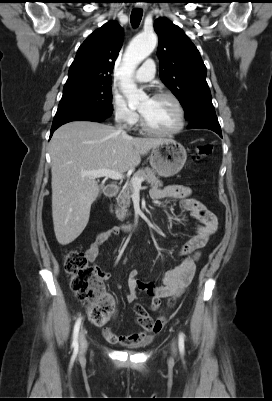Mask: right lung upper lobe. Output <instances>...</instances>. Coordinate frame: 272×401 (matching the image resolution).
<instances>
[{
    "mask_svg": "<svg viewBox=\"0 0 272 401\" xmlns=\"http://www.w3.org/2000/svg\"><path fill=\"white\" fill-rule=\"evenodd\" d=\"M122 41L123 29L115 21L95 30L79 47L63 91L111 82Z\"/></svg>",
    "mask_w": 272,
    "mask_h": 401,
    "instance_id": "right-lung-upper-lobe-1",
    "label": "right lung upper lobe"
}]
</instances>
